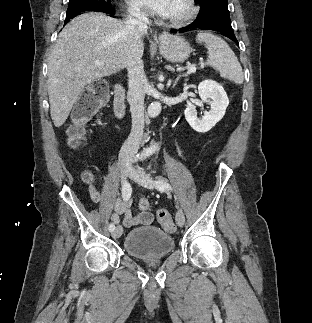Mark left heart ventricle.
I'll use <instances>...</instances> for the list:
<instances>
[{
    "label": "left heart ventricle",
    "mask_w": 312,
    "mask_h": 323,
    "mask_svg": "<svg viewBox=\"0 0 312 323\" xmlns=\"http://www.w3.org/2000/svg\"><path fill=\"white\" fill-rule=\"evenodd\" d=\"M186 4L183 2V0H174V2L171 3L172 9H177L178 14H185L186 12Z\"/></svg>",
    "instance_id": "1"
}]
</instances>
